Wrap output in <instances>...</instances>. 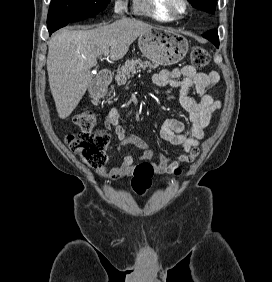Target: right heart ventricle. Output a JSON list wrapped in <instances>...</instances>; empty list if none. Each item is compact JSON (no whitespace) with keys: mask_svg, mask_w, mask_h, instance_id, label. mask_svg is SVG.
Masks as SVG:
<instances>
[{"mask_svg":"<svg viewBox=\"0 0 272 282\" xmlns=\"http://www.w3.org/2000/svg\"><path fill=\"white\" fill-rule=\"evenodd\" d=\"M134 4L136 14H147L163 22L174 20V17L164 7V0H134Z\"/></svg>","mask_w":272,"mask_h":282,"instance_id":"right-heart-ventricle-1","label":"right heart ventricle"}]
</instances>
